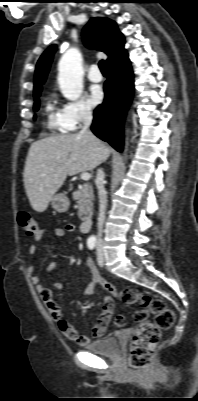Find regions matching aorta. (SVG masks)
I'll use <instances>...</instances> for the list:
<instances>
[{
	"label": "aorta",
	"instance_id": "1",
	"mask_svg": "<svg viewBox=\"0 0 198 401\" xmlns=\"http://www.w3.org/2000/svg\"><path fill=\"white\" fill-rule=\"evenodd\" d=\"M81 55L77 49L68 50L60 59L58 83L63 96L71 101L77 100L83 89Z\"/></svg>",
	"mask_w": 198,
	"mask_h": 401
}]
</instances>
